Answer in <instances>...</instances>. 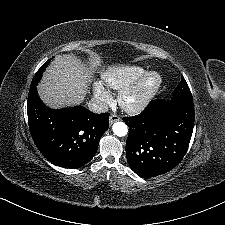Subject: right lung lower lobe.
Returning <instances> with one entry per match:
<instances>
[{
	"label": "right lung lower lobe",
	"instance_id": "1",
	"mask_svg": "<svg viewBox=\"0 0 225 225\" xmlns=\"http://www.w3.org/2000/svg\"><path fill=\"white\" fill-rule=\"evenodd\" d=\"M28 123L39 151L53 164L76 169L95 155L99 140L109 127V114H94L76 106L53 110L30 88Z\"/></svg>",
	"mask_w": 225,
	"mask_h": 225
}]
</instances>
